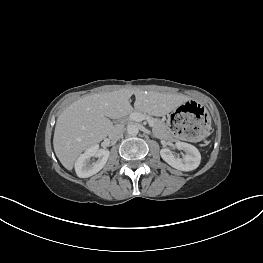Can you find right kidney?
I'll return each instance as SVG.
<instances>
[{"mask_svg":"<svg viewBox=\"0 0 263 263\" xmlns=\"http://www.w3.org/2000/svg\"><path fill=\"white\" fill-rule=\"evenodd\" d=\"M110 152L106 149H99L98 145H93L81 154L75 162V171L78 177L88 178L98 173L106 164ZM98 158L92 161L91 158Z\"/></svg>","mask_w":263,"mask_h":263,"instance_id":"ca27d5eb","label":"right kidney"}]
</instances>
